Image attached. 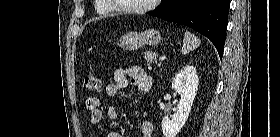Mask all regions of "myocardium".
I'll return each instance as SVG.
<instances>
[{"mask_svg": "<svg viewBox=\"0 0 280 137\" xmlns=\"http://www.w3.org/2000/svg\"><path fill=\"white\" fill-rule=\"evenodd\" d=\"M157 2L158 0H148V3L144 6L120 8L118 11L129 15L141 14L153 9ZM112 7L115 8L116 6L112 5Z\"/></svg>", "mask_w": 280, "mask_h": 137, "instance_id": "obj_1", "label": "myocardium"}]
</instances>
